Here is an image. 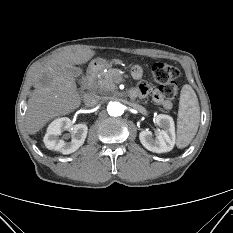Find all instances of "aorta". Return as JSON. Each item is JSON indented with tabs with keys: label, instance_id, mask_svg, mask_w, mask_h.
Segmentation results:
<instances>
[{
	"label": "aorta",
	"instance_id": "obj_1",
	"mask_svg": "<svg viewBox=\"0 0 233 233\" xmlns=\"http://www.w3.org/2000/svg\"><path fill=\"white\" fill-rule=\"evenodd\" d=\"M107 112L110 116H121L124 112V106L118 101H110L107 105Z\"/></svg>",
	"mask_w": 233,
	"mask_h": 233
}]
</instances>
